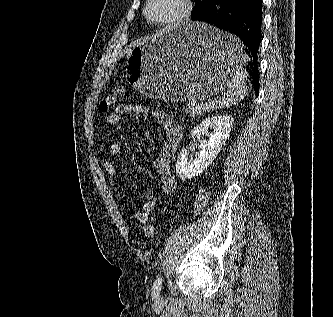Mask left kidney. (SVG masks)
Listing matches in <instances>:
<instances>
[{"instance_id": "5707ae66", "label": "left kidney", "mask_w": 333, "mask_h": 317, "mask_svg": "<svg viewBox=\"0 0 333 317\" xmlns=\"http://www.w3.org/2000/svg\"><path fill=\"white\" fill-rule=\"evenodd\" d=\"M234 119L230 115H215L202 120L191 131V137L208 133L209 139L201 144V150L195 159L188 160L189 147L182 149L176 164V174L182 179H191L202 173L216 158L233 127ZM211 130V132H209Z\"/></svg>"}]
</instances>
